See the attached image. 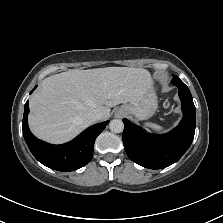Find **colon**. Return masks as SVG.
Wrapping results in <instances>:
<instances>
[{"mask_svg":"<svg viewBox=\"0 0 223 223\" xmlns=\"http://www.w3.org/2000/svg\"><path fill=\"white\" fill-rule=\"evenodd\" d=\"M165 106H166V107H168V106H169V103H168V102H166V103H165Z\"/></svg>","mask_w":223,"mask_h":223,"instance_id":"obj_1","label":"colon"}]
</instances>
